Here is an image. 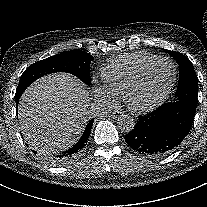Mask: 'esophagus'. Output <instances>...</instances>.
<instances>
[{
  "instance_id": "34e87169",
  "label": "esophagus",
  "mask_w": 207,
  "mask_h": 207,
  "mask_svg": "<svg viewBox=\"0 0 207 207\" xmlns=\"http://www.w3.org/2000/svg\"><path fill=\"white\" fill-rule=\"evenodd\" d=\"M123 113L120 110H113L110 114V116L112 118H118L119 116H121Z\"/></svg>"
}]
</instances>
